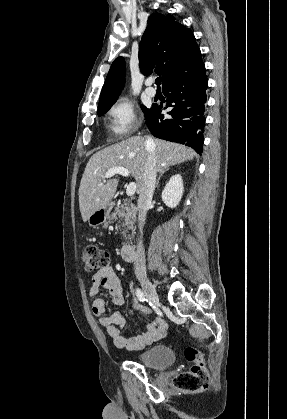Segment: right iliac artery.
Returning <instances> with one entry per match:
<instances>
[{
	"label": "right iliac artery",
	"instance_id": "right-iliac-artery-1",
	"mask_svg": "<svg viewBox=\"0 0 287 419\" xmlns=\"http://www.w3.org/2000/svg\"><path fill=\"white\" fill-rule=\"evenodd\" d=\"M136 296H137V298H138V300L140 301V302H144L145 300H146V298H145V294L143 293V291L141 290V289H139V288H137L136 289Z\"/></svg>",
	"mask_w": 287,
	"mask_h": 419
}]
</instances>
